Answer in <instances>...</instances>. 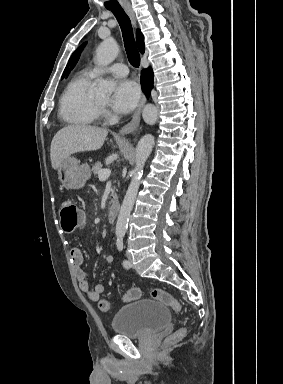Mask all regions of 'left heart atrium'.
Wrapping results in <instances>:
<instances>
[{"label": "left heart atrium", "mask_w": 283, "mask_h": 384, "mask_svg": "<svg viewBox=\"0 0 283 384\" xmlns=\"http://www.w3.org/2000/svg\"><path fill=\"white\" fill-rule=\"evenodd\" d=\"M139 97V88L133 81L120 80L115 85L109 105L116 112L129 113L136 106Z\"/></svg>", "instance_id": "obj_1"}]
</instances>
